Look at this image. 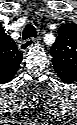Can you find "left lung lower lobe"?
<instances>
[{
	"label": "left lung lower lobe",
	"instance_id": "obj_1",
	"mask_svg": "<svg viewBox=\"0 0 77 125\" xmlns=\"http://www.w3.org/2000/svg\"><path fill=\"white\" fill-rule=\"evenodd\" d=\"M55 69V72L57 73L58 77L61 79V81L65 83L72 82L74 79V67L67 66V65H55L53 66Z\"/></svg>",
	"mask_w": 77,
	"mask_h": 125
}]
</instances>
